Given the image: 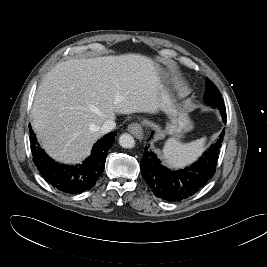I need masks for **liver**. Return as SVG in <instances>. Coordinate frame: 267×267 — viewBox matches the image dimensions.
I'll return each instance as SVG.
<instances>
[{"instance_id":"6515ba94","label":"liver","mask_w":267,"mask_h":267,"mask_svg":"<svg viewBox=\"0 0 267 267\" xmlns=\"http://www.w3.org/2000/svg\"><path fill=\"white\" fill-rule=\"evenodd\" d=\"M158 66L140 54L71 59L57 64L40 83L32 125L57 161L79 163L117 114L161 110Z\"/></svg>"}]
</instances>
